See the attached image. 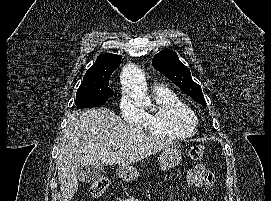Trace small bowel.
<instances>
[{
    "label": "small bowel",
    "mask_w": 271,
    "mask_h": 201,
    "mask_svg": "<svg viewBox=\"0 0 271 201\" xmlns=\"http://www.w3.org/2000/svg\"><path fill=\"white\" fill-rule=\"evenodd\" d=\"M190 186L200 188L203 186L212 187L215 184L214 175L203 165H197L190 169L186 176Z\"/></svg>",
    "instance_id": "1"
}]
</instances>
